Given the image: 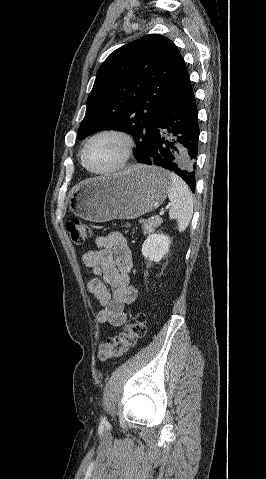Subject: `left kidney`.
Listing matches in <instances>:
<instances>
[{
    "instance_id": "5707ae66",
    "label": "left kidney",
    "mask_w": 266,
    "mask_h": 479,
    "mask_svg": "<svg viewBox=\"0 0 266 479\" xmlns=\"http://www.w3.org/2000/svg\"><path fill=\"white\" fill-rule=\"evenodd\" d=\"M170 237L163 234H149L142 245V255L149 262H159L169 252Z\"/></svg>"
}]
</instances>
